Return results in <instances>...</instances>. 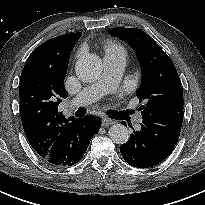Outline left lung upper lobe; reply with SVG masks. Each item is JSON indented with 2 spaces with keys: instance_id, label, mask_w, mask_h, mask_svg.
Segmentation results:
<instances>
[{
  "instance_id": "5c2ea615",
  "label": "left lung upper lobe",
  "mask_w": 205,
  "mask_h": 205,
  "mask_svg": "<svg viewBox=\"0 0 205 205\" xmlns=\"http://www.w3.org/2000/svg\"><path fill=\"white\" fill-rule=\"evenodd\" d=\"M111 33L126 41L136 52L142 70L137 91L143 118L166 112L183 111V90L172 60L144 31L137 28H110Z\"/></svg>"
}]
</instances>
